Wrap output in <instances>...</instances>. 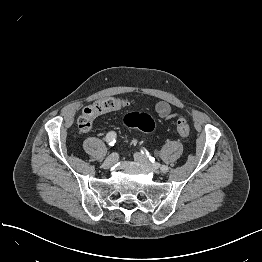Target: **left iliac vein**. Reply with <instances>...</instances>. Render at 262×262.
I'll use <instances>...</instances> for the list:
<instances>
[{"label":"left iliac vein","mask_w":262,"mask_h":262,"mask_svg":"<svg viewBox=\"0 0 262 262\" xmlns=\"http://www.w3.org/2000/svg\"><path fill=\"white\" fill-rule=\"evenodd\" d=\"M134 159L140 164H142L143 166H145L146 168L154 171L155 173H159V165L158 164L152 165L149 159L145 155L137 152L134 154Z\"/></svg>","instance_id":"4c4485c4"}]
</instances>
